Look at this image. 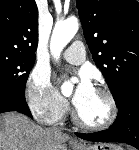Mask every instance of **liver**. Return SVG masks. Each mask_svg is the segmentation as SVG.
Here are the masks:
<instances>
[{"label": "liver", "mask_w": 139, "mask_h": 150, "mask_svg": "<svg viewBox=\"0 0 139 150\" xmlns=\"http://www.w3.org/2000/svg\"><path fill=\"white\" fill-rule=\"evenodd\" d=\"M69 136L43 129L18 113L0 115V150H66Z\"/></svg>", "instance_id": "liver-1"}]
</instances>
